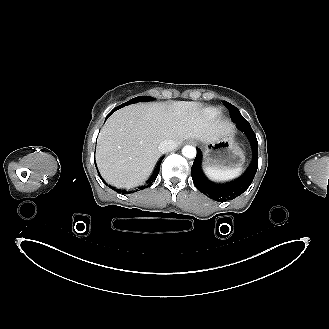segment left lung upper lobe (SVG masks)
Wrapping results in <instances>:
<instances>
[{
  "instance_id": "obj_1",
  "label": "left lung upper lobe",
  "mask_w": 329,
  "mask_h": 329,
  "mask_svg": "<svg viewBox=\"0 0 329 329\" xmlns=\"http://www.w3.org/2000/svg\"><path fill=\"white\" fill-rule=\"evenodd\" d=\"M226 107L228 108L230 115H231V119L236 122V123H241L243 121H246V119L241 115V113L239 112V110L233 106L232 104H230L227 101H224Z\"/></svg>"
}]
</instances>
